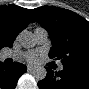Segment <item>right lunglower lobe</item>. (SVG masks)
Returning <instances> with one entry per match:
<instances>
[{
    "instance_id": "98d812e1",
    "label": "right lung lower lobe",
    "mask_w": 89,
    "mask_h": 89,
    "mask_svg": "<svg viewBox=\"0 0 89 89\" xmlns=\"http://www.w3.org/2000/svg\"><path fill=\"white\" fill-rule=\"evenodd\" d=\"M27 71V67L14 62L10 66L0 63V86L2 89H14L19 77Z\"/></svg>"
}]
</instances>
